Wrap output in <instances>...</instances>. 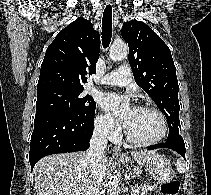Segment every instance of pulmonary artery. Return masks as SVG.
Returning <instances> with one entry per match:
<instances>
[{"mask_svg":"<svg viewBox=\"0 0 211 195\" xmlns=\"http://www.w3.org/2000/svg\"><path fill=\"white\" fill-rule=\"evenodd\" d=\"M100 83L110 86H128L132 83L131 70L128 66H120L116 71L106 74Z\"/></svg>","mask_w":211,"mask_h":195,"instance_id":"1","label":"pulmonary artery"}]
</instances>
